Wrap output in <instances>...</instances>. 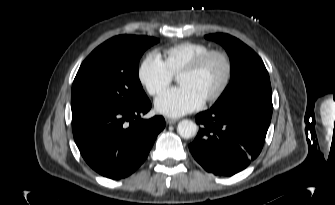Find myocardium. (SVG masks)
I'll use <instances>...</instances> for the list:
<instances>
[{
  "label": "myocardium",
  "mask_w": 335,
  "mask_h": 205,
  "mask_svg": "<svg viewBox=\"0 0 335 205\" xmlns=\"http://www.w3.org/2000/svg\"><path fill=\"white\" fill-rule=\"evenodd\" d=\"M213 57H219L223 60L225 65V75L217 91L208 98H206L204 100L205 103L216 102L226 92L233 74V66L230 57L224 51L209 50L206 53L199 56L196 60H194L190 65H188L178 74V77L181 75L195 74L199 72L206 65V63Z\"/></svg>",
  "instance_id": "obj_1"
}]
</instances>
